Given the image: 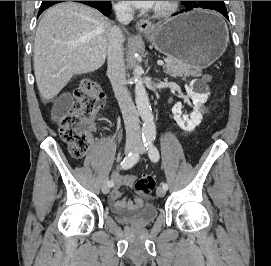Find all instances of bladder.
Listing matches in <instances>:
<instances>
[{"label":"bladder","mask_w":271,"mask_h":266,"mask_svg":"<svg viewBox=\"0 0 271 266\" xmlns=\"http://www.w3.org/2000/svg\"><path fill=\"white\" fill-rule=\"evenodd\" d=\"M157 215V208L154 205L148 204L129 215L116 216V220L135 227H145L150 225L155 220Z\"/></svg>","instance_id":"31cf9c89"}]
</instances>
